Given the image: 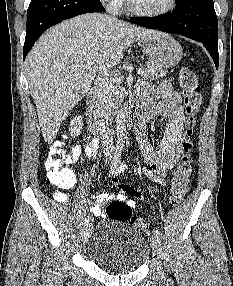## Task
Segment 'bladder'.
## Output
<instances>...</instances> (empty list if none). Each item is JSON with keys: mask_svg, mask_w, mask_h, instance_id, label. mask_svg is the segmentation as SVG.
I'll list each match as a JSON object with an SVG mask.
<instances>
[{"mask_svg": "<svg viewBox=\"0 0 233 286\" xmlns=\"http://www.w3.org/2000/svg\"><path fill=\"white\" fill-rule=\"evenodd\" d=\"M149 254L144 236L120 220L107 221L98 227L89 245L93 263L109 273L133 272Z\"/></svg>", "mask_w": 233, "mask_h": 286, "instance_id": "obj_1", "label": "bladder"}]
</instances>
